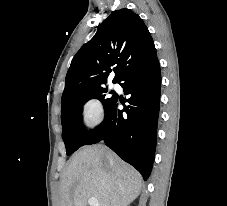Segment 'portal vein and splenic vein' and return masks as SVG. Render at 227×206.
<instances>
[{"label":"portal vein and splenic vein","instance_id":"portal-vein-and-splenic-vein-1","mask_svg":"<svg viewBox=\"0 0 227 206\" xmlns=\"http://www.w3.org/2000/svg\"><path fill=\"white\" fill-rule=\"evenodd\" d=\"M88 203L90 206H100L97 199L94 197L89 198Z\"/></svg>","mask_w":227,"mask_h":206}]
</instances>
